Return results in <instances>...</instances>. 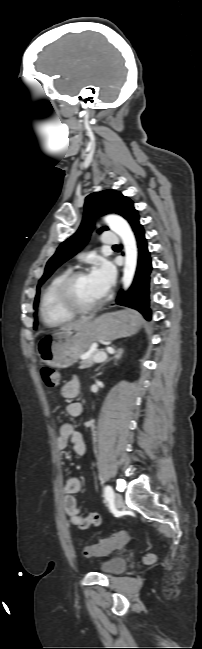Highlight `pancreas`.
Segmentation results:
<instances>
[{
	"label": "pancreas",
	"mask_w": 202,
	"mask_h": 649,
	"mask_svg": "<svg viewBox=\"0 0 202 649\" xmlns=\"http://www.w3.org/2000/svg\"><path fill=\"white\" fill-rule=\"evenodd\" d=\"M97 353H105V352H104V351H100V350H96L95 353H94L93 355H91L90 357H88L87 359H85V360H83V361L81 362L79 368H80V369H85V368H89V367H91V366L94 364V359H93V358H94V355L97 354Z\"/></svg>",
	"instance_id": "pancreas-1"
}]
</instances>
